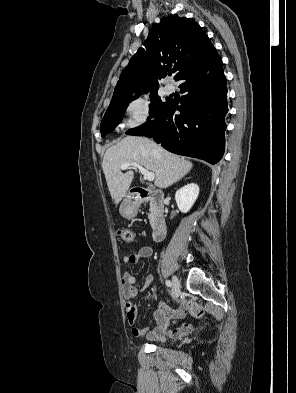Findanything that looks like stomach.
<instances>
[{"instance_id":"stomach-1","label":"stomach","mask_w":296,"mask_h":393,"mask_svg":"<svg viewBox=\"0 0 296 393\" xmlns=\"http://www.w3.org/2000/svg\"><path fill=\"white\" fill-rule=\"evenodd\" d=\"M119 212L121 216L126 219H131L136 215V209L132 203L127 200H124L120 206Z\"/></svg>"}]
</instances>
